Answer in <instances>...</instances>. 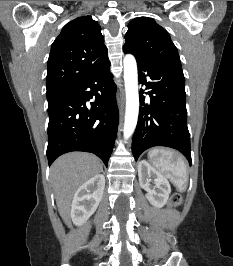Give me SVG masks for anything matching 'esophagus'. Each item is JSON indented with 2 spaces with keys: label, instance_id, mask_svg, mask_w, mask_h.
<instances>
[{
  "label": "esophagus",
  "instance_id": "1",
  "mask_svg": "<svg viewBox=\"0 0 233 266\" xmlns=\"http://www.w3.org/2000/svg\"><path fill=\"white\" fill-rule=\"evenodd\" d=\"M120 104V100L118 99V105Z\"/></svg>",
  "mask_w": 233,
  "mask_h": 266
}]
</instances>
